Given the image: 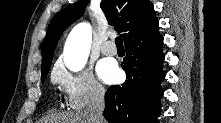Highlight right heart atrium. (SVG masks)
<instances>
[{
	"mask_svg": "<svg viewBox=\"0 0 221 123\" xmlns=\"http://www.w3.org/2000/svg\"><path fill=\"white\" fill-rule=\"evenodd\" d=\"M52 80L61 87L66 105L73 110L99 103L104 99L105 89L89 69L71 72L58 65L52 73Z\"/></svg>",
	"mask_w": 221,
	"mask_h": 123,
	"instance_id": "right-heart-atrium-1",
	"label": "right heart atrium"
}]
</instances>
